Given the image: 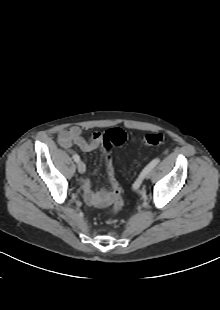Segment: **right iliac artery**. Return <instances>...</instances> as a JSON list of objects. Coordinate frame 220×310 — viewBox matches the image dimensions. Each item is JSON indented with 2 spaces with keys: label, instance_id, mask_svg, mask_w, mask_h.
<instances>
[{
  "label": "right iliac artery",
  "instance_id": "82829eb1",
  "mask_svg": "<svg viewBox=\"0 0 220 310\" xmlns=\"http://www.w3.org/2000/svg\"><path fill=\"white\" fill-rule=\"evenodd\" d=\"M73 159H74L75 162H79L80 161V157L77 154L73 155Z\"/></svg>",
  "mask_w": 220,
  "mask_h": 310
}]
</instances>
